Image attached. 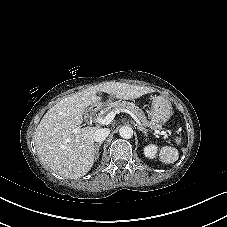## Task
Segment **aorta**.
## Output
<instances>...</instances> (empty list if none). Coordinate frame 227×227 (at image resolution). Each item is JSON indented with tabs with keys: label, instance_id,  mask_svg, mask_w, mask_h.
I'll return each instance as SVG.
<instances>
[{
	"label": "aorta",
	"instance_id": "aorta-1",
	"mask_svg": "<svg viewBox=\"0 0 227 227\" xmlns=\"http://www.w3.org/2000/svg\"><path fill=\"white\" fill-rule=\"evenodd\" d=\"M119 134L124 139H130L133 136V129L129 126H123L120 128Z\"/></svg>",
	"mask_w": 227,
	"mask_h": 227
}]
</instances>
